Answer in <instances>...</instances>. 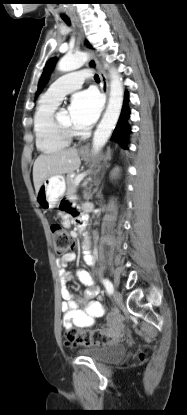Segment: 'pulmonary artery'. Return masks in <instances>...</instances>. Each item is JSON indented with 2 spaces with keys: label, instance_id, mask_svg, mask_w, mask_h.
<instances>
[{
  "label": "pulmonary artery",
  "instance_id": "1",
  "mask_svg": "<svg viewBox=\"0 0 187 415\" xmlns=\"http://www.w3.org/2000/svg\"><path fill=\"white\" fill-rule=\"evenodd\" d=\"M90 77L88 71H75L56 80L47 89L45 96L53 101H60L66 94L79 89L84 81Z\"/></svg>",
  "mask_w": 187,
  "mask_h": 415
}]
</instances>
